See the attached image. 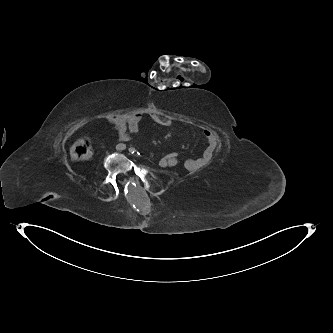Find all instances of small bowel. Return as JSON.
<instances>
[{"label": "small bowel", "instance_id": "1", "mask_svg": "<svg viewBox=\"0 0 333 333\" xmlns=\"http://www.w3.org/2000/svg\"><path fill=\"white\" fill-rule=\"evenodd\" d=\"M145 115L154 123L161 126H169L172 123L171 118L164 114L149 112ZM143 117L144 114L133 113L128 115L115 116L110 119L111 128L117 134L120 142L129 141L134 135L138 133ZM203 134L207 141V147L200 157L184 159L183 165L188 170H199L200 168L206 166L212 158L215 147L214 133L209 129H205ZM178 161V157H173L172 161H165L164 164L160 163V165L165 168L173 167L178 164Z\"/></svg>", "mask_w": 333, "mask_h": 333}]
</instances>
